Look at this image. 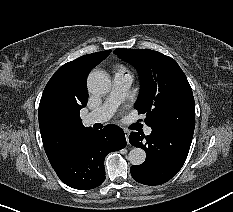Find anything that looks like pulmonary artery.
Instances as JSON below:
<instances>
[{
    "mask_svg": "<svg viewBox=\"0 0 233 212\" xmlns=\"http://www.w3.org/2000/svg\"><path fill=\"white\" fill-rule=\"evenodd\" d=\"M132 75L123 70L114 74L111 92L105 102L97 109L89 112L84 117L86 124L103 123L109 120L115 113L117 107L127 97L132 83ZM152 129L147 127L145 134H151Z\"/></svg>",
    "mask_w": 233,
    "mask_h": 212,
    "instance_id": "1",
    "label": "pulmonary artery"
}]
</instances>
